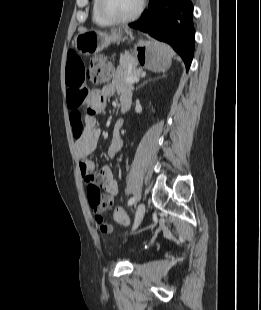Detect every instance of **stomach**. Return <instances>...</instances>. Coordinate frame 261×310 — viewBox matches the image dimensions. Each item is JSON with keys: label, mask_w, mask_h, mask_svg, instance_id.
Masks as SVG:
<instances>
[{"label": "stomach", "mask_w": 261, "mask_h": 310, "mask_svg": "<svg viewBox=\"0 0 261 310\" xmlns=\"http://www.w3.org/2000/svg\"><path fill=\"white\" fill-rule=\"evenodd\" d=\"M122 31L107 34L100 31H84L77 34L75 48L84 55L96 54L111 43L124 40ZM135 60L138 64L154 72H164L171 65L172 52L164 44L156 41L140 40L135 45Z\"/></svg>", "instance_id": "0dacf381"}]
</instances>
